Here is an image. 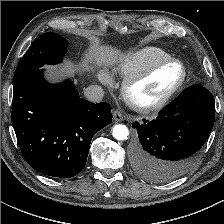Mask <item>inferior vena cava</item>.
Listing matches in <instances>:
<instances>
[{
	"instance_id": "obj_1",
	"label": "inferior vena cava",
	"mask_w": 224,
	"mask_h": 224,
	"mask_svg": "<svg viewBox=\"0 0 224 224\" xmlns=\"http://www.w3.org/2000/svg\"><path fill=\"white\" fill-rule=\"evenodd\" d=\"M84 96L91 102H100L103 99L104 91L101 86L91 85L84 90Z\"/></svg>"
}]
</instances>
